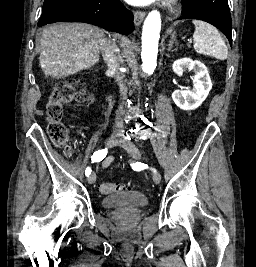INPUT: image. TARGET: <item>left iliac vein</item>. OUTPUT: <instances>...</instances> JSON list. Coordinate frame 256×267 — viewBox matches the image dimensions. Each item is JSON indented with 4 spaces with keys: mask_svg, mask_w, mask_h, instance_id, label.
<instances>
[{
    "mask_svg": "<svg viewBox=\"0 0 256 267\" xmlns=\"http://www.w3.org/2000/svg\"><path fill=\"white\" fill-rule=\"evenodd\" d=\"M119 143L133 158L136 160L141 158L139 149L133 143L127 141L126 139H121ZM153 181L156 184H160L161 182V175L157 171H155L153 174Z\"/></svg>",
    "mask_w": 256,
    "mask_h": 267,
    "instance_id": "left-iliac-vein-1",
    "label": "left iliac vein"
}]
</instances>
